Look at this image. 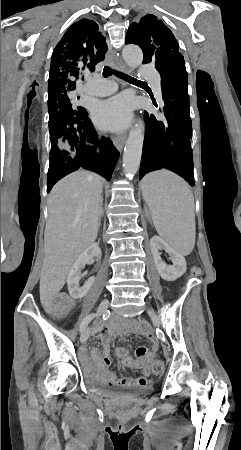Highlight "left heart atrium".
<instances>
[{"label":"left heart atrium","mask_w":241,"mask_h":450,"mask_svg":"<svg viewBox=\"0 0 241 450\" xmlns=\"http://www.w3.org/2000/svg\"><path fill=\"white\" fill-rule=\"evenodd\" d=\"M133 109V99L126 94H120L100 102L94 109L93 119L101 129L118 131L128 126Z\"/></svg>","instance_id":"left-heart-atrium-1"}]
</instances>
